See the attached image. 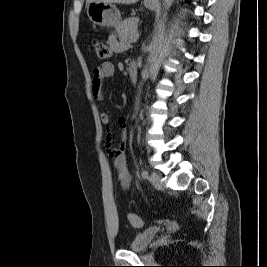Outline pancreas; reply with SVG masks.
Returning <instances> with one entry per match:
<instances>
[{"mask_svg": "<svg viewBox=\"0 0 267 267\" xmlns=\"http://www.w3.org/2000/svg\"><path fill=\"white\" fill-rule=\"evenodd\" d=\"M138 22V17H131L125 19L122 23H120L116 27L119 38L121 39L124 37H131L133 35H136L138 33Z\"/></svg>", "mask_w": 267, "mask_h": 267, "instance_id": "pancreas-1", "label": "pancreas"}]
</instances>
